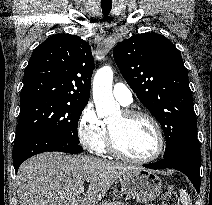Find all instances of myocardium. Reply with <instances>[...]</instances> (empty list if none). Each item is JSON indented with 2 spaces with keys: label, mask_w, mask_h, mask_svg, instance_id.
I'll list each match as a JSON object with an SVG mask.
<instances>
[{
  "label": "myocardium",
  "mask_w": 212,
  "mask_h": 205,
  "mask_svg": "<svg viewBox=\"0 0 212 205\" xmlns=\"http://www.w3.org/2000/svg\"><path fill=\"white\" fill-rule=\"evenodd\" d=\"M122 114L125 118H135V117H142L145 118L150 122L152 125L155 136H156V147L153 153H151L148 156L145 157H131L127 154H125L118 146L114 132L112 131L111 127L108 124V136H107V146L108 150L116 157L125 160L127 162L135 163V164H146L150 163L157 158L160 157V155L163 152L164 149V136L161 129V126L159 122L156 120V118L151 115L148 112L142 111V110H135V109H126L122 111Z\"/></svg>",
  "instance_id": "f54148a6"
}]
</instances>
